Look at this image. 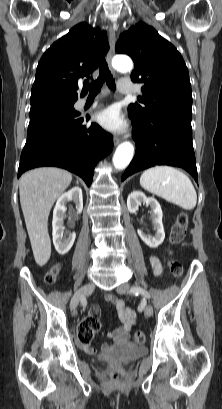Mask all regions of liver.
I'll return each mask as SVG.
<instances>
[{"label":"liver","instance_id":"liver-1","mask_svg":"<svg viewBox=\"0 0 222 409\" xmlns=\"http://www.w3.org/2000/svg\"><path fill=\"white\" fill-rule=\"evenodd\" d=\"M71 181V173L55 167L37 168L20 178V204L34 259L39 266L45 265L51 255L48 233L50 210Z\"/></svg>","mask_w":222,"mask_h":409}]
</instances>
